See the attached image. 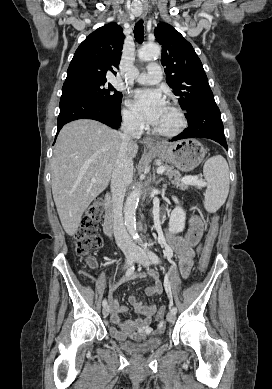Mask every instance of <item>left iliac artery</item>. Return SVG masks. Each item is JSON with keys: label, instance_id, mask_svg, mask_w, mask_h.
<instances>
[{"label": "left iliac artery", "instance_id": "44dca946", "mask_svg": "<svg viewBox=\"0 0 272 389\" xmlns=\"http://www.w3.org/2000/svg\"><path fill=\"white\" fill-rule=\"evenodd\" d=\"M142 246L147 250V253H148V256H149L150 260H151L153 263L158 264V263H159V258H158V256H157L154 252H152V251H150V250L147 249V244H146V243H143ZM165 290H166V292H167V294H168V297H169L170 301H172V293H171L170 284H169L167 278H166V280H165ZM171 313L176 314V313H177V308H176V307H173V308L171 309Z\"/></svg>", "mask_w": 272, "mask_h": 389}]
</instances>
